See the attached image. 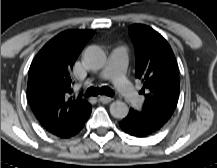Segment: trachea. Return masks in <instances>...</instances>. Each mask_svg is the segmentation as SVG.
I'll return each mask as SVG.
<instances>
[{
    "label": "trachea",
    "mask_w": 217,
    "mask_h": 168,
    "mask_svg": "<svg viewBox=\"0 0 217 168\" xmlns=\"http://www.w3.org/2000/svg\"><path fill=\"white\" fill-rule=\"evenodd\" d=\"M98 94L107 95V96H114V91L107 86H103L101 88L90 87L87 89V91L85 93V97L97 96Z\"/></svg>",
    "instance_id": "obj_1"
}]
</instances>
